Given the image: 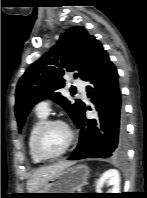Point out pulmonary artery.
Returning a JSON list of instances; mask_svg holds the SVG:
<instances>
[{
  "label": "pulmonary artery",
  "instance_id": "1",
  "mask_svg": "<svg viewBox=\"0 0 147 198\" xmlns=\"http://www.w3.org/2000/svg\"><path fill=\"white\" fill-rule=\"evenodd\" d=\"M74 86L79 90V92L82 94V96L84 98H86L85 85L81 81L76 80L74 82ZM50 111H51V106H50L49 100L41 101L36 106V113L39 115L47 116L50 113Z\"/></svg>",
  "mask_w": 147,
  "mask_h": 198
}]
</instances>
